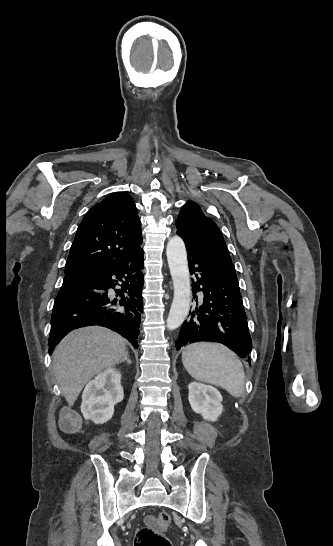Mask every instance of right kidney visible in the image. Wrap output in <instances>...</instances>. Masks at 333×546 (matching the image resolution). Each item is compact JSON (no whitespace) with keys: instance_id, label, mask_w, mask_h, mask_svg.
<instances>
[{"instance_id":"1","label":"right kidney","mask_w":333,"mask_h":546,"mask_svg":"<svg viewBox=\"0 0 333 546\" xmlns=\"http://www.w3.org/2000/svg\"><path fill=\"white\" fill-rule=\"evenodd\" d=\"M120 379L119 370L108 368L86 385L81 404L85 419L103 424L112 418L114 406L124 397Z\"/></svg>"}]
</instances>
